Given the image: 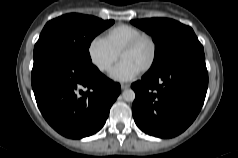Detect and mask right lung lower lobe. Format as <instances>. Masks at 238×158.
<instances>
[{
	"mask_svg": "<svg viewBox=\"0 0 238 158\" xmlns=\"http://www.w3.org/2000/svg\"><path fill=\"white\" fill-rule=\"evenodd\" d=\"M31 83L45 120L61 135L79 139L98 132L120 94V84L93 64L48 48L33 56Z\"/></svg>",
	"mask_w": 238,
	"mask_h": 158,
	"instance_id": "1",
	"label": "right lung lower lobe"
}]
</instances>
